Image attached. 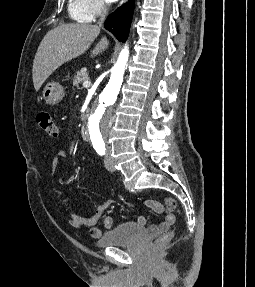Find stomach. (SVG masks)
<instances>
[{
    "label": "stomach",
    "mask_w": 255,
    "mask_h": 287,
    "mask_svg": "<svg viewBox=\"0 0 255 287\" xmlns=\"http://www.w3.org/2000/svg\"><path fill=\"white\" fill-rule=\"evenodd\" d=\"M63 98V86H60V84H57V82H49V84H46L43 90V100H45L46 104L55 106V104H59Z\"/></svg>",
    "instance_id": "stomach-1"
}]
</instances>
